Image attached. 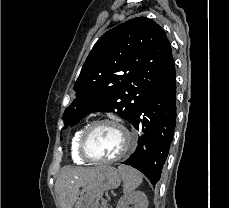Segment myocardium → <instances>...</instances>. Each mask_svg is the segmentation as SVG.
Listing matches in <instances>:
<instances>
[{
	"mask_svg": "<svg viewBox=\"0 0 229 208\" xmlns=\"http://www.w3.org/2000/svg\"><path fill=\"white\" fill-rule=\"evenodd\" d=\"M107 124L114 125L122 129L128 137V142H124V150L121 153H119L116 157H111V160H92V157H90V154L86 151V148L88 147L87 139H89L91 133L96 128ZM134 146L135 137L133 133L124 124L114 119H102L91 123L83 131L80 138V143L78 144V153H80V158H86L90 162L106 164L116 162L126 157L133 150Z\"/></svg>",
	"mask_w": 229,
	"mask_h": 208,
	"instance_id": "f54148a6",
	"label": "myocardium"
}]
</instances>
